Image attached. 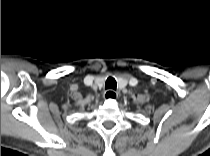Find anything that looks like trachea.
Instances as JSON below:
<instances>
[{
    "instance_id": "3493384b",
    "label": "trachea",
    "mask_w": 210,
    "mask_h": 156,
    "mask_svg": "<svg viewBox=\"0 0 210 156\" xmlns=\"http://www.w3.org/2000/svg\"><path fill=\"white\" fill-rule=\"evenodd\" d=\"M117 82L113 77H108L105 83L106 89L116 90Z\"/></svg>"
}]
</instances>
